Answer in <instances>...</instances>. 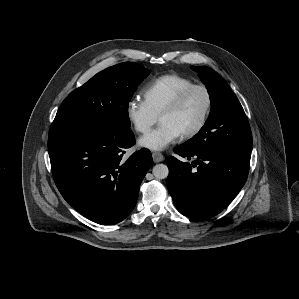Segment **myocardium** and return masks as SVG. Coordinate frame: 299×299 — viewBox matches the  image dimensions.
I'll return each instance as SVG.
<instances>
[{
    "instance_id": "f54148a6",
    "label": "myocardium",
    "mask_w": 299,
    "mask_h": 299,
    "mask_svg": "<svg viewBox=\"0 0 299 299\" xmlns=\"http://www.w3.org/2000/svg\"><path fill=\"white\" fill-rule=\"evenodd\" d=\"M195 90H200L204 93L206 99V105L200 121L197 123L195 127L181 134L183 138H192L196 136L206 126L213 105V98L209 88L203 84H192L186 87L185 89L180 91L159 114V118H160L165 114H169L176 111L183 104V102L186 100L189 94Z\"/></svg>"
}]
</instances>
